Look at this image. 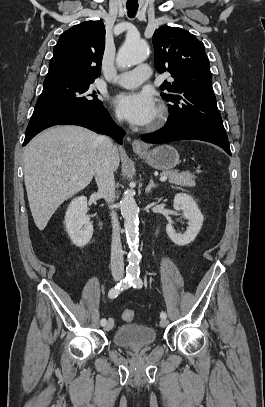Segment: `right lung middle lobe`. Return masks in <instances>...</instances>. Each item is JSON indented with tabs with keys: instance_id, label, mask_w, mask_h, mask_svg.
<instances>
[{
	"instance_id": "dd1d6c3e",
	"label": "right lung middle lobe",
	"mask_w": 265,
	"mask_h": 407,
	"mask_svg": "<svg viewBox=\"0 0 265 407\" xmlns=\"http://www.w3.org/2000/svg\"><path fill=\"white\" fill-rule=\"evenodd\" d=\"M93 82L73 78L45 79L42 94L28 125L67 111L102 107V102L97 98L98 92L90 86Z\"/></svg>"
}]
</instances>
